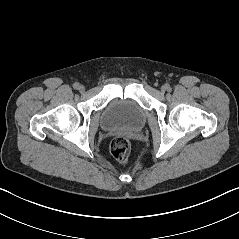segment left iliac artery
<instances>
[{"label": "left iliac artery", "mask_w": 239, "mask_h": 239, "mask_svg": "<svg viewBox=\"0 0 239 239\" xmlns=\"http://www.w3.org/2000/svg\"><path fill=\"white\" fill-rule=\"evenodd\" d=\"M166 89H167V91H171L170 85H166Z\"/></svg>", "instance_id": "44dca946"}]
</instances>
